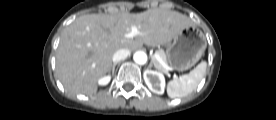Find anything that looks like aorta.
Masks as SVG:
<instances>
[{"instance_id":"aorta-1","label":"aorta","mask_w":276,"mask_h":120,"mask_svg":"<svg viewBox=\"0 0 276 120\" xmlns=\"http://www.w3.org/2000/svg\"><path fill=\"white\" fill-rule=\"evenodd\" d=\"M133 59L137 64L144 65L147 62V55L143 51H137L135 52Z\"/></svg>"}]
</instances>
